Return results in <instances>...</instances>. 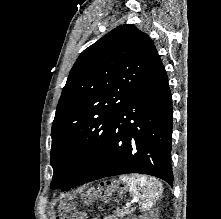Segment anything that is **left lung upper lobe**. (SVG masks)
<instances>
[{
    "instance_id": "5c2ea615",
    "label": "left lung upper lobe",
    "mask_w": 221,
    "mask_h": 219,
    "mask_svg": "<svg viewBox=\"0 0 221 219\" xmlns=\"http://www.w3.org/2000/svg\"><path fill=\"white\" fill-rule=\"evenodd\" d=\"M157 54L151 38L131 24L118 26L80 54L52 125L51 188L70 189L95 163Z\"/></svg>"
}]
</instances>
